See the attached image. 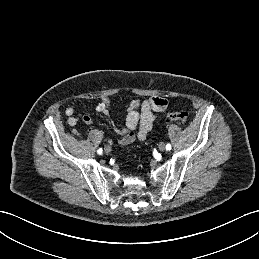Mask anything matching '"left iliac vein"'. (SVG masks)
Instances as JSON below:
<instances>
[{
	"mask_svg": "<svg viewBox=\"0 0 259 259\" xmlns=\"http://www.w3.org/2000/svg\"><path fill=\"white\" fill-rule=\"evenodd\" d=\"M158 148L160 151H164L165 150V144L163 142H161L159 145H158Z\"/></svg>",
	"mask_w": 259,
	"mask_h": 259,
	"instance_id": "left-iliac-vein-1",
	"label": "left iliac vein"
}]
</instances>
